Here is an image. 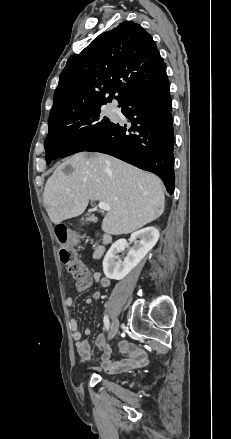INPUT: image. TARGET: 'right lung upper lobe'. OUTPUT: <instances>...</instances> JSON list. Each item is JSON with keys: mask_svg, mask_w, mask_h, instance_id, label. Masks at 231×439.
I'll return each mask as SVG.
<instances>
[{"mask_svg": "<svg viewBox=\"0 0 231 439\" xmlns=\"http://www.w3.org/2000/svg\"><path fill=\"white\" fill-rule=\"evenodd\" d=\"M166 79L165 63L151 35L139 24L123 21L69 57L48 121L102 106L112 98L122 106L139 91Z\"/></svg>", "mask_w": 231, "mask_h": 439, "instance_id": "cb5924a9", "label": "right lung upper lobe"}]
</instances>
